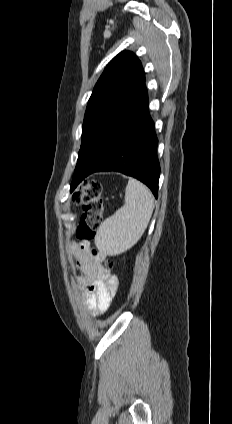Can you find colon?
<instances>
[{
	"label": "colon",
	"instance_id": "5ec220e1",
	"mask_svg": "<svg viewBox=\"0 0 232 424\" xmlns=\"http://www.w3.org/2000/svg\"><path fill=\"white\" fill-rule=\"evenodd\" d=\"M72 201L83 209L76 236L83 242H89L96 237L104 214L101 183L94 179L87 180L73 194ZM105 265L113 268L112 261H106Z\"/></svg>",
	"mask_w": 232,
	"mask_h": 424
}]
</instances>
